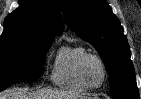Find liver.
Wrapping results in <instances>:
<instances>
[{
    "mask_svg": "<svg viewBox=\"0 0 141 99\" xmlns=\"http://www.w3.org/2000/svg\"><path fill=\"white\" fill-rule=\"evenodd\" d=\"M81 96L69 94L62 90L43 88L32 92L26 89H13L0 94V99H78Z\"/></svg>",
    "mask_w": 141,
    "mask_h": 99,
    "instance_id": "1",
    "label": "liver"
}]
</instances>
